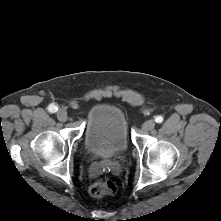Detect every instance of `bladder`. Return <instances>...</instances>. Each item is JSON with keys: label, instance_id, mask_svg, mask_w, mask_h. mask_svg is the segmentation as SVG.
<instances>
[{"label": "bladder", "instance_id": "obj_1", "mask_svg": "<svg viewBox=\"0 0 221 221\" xmlns=\"http://www.w3.org/2000/svg\"><path fill=\"white\" fill-rule=\"evenodd\" d=\"M84 144L89 154L99 158H111L125 152L129 135L124 112L109 103L92 108L86 121Z\"/></svg>", "mask_w": 221, "mask_h": 221}]
</instances>
